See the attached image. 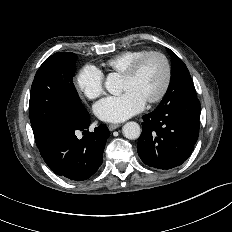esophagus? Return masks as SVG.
I'll return each instance as SVG.
<instances>
[{
  "mask_svg": "<svg viewBox=\"0 0 232 232\" xmlns=\"http://www.w3.org/2000/svg\"><path fill=\"white\" fill-rule=\"evenodd\" d=\"M120 126H121L120 124L112 123V124H109L108 128L110 131H113V130L119 128Z\"/></svg>",
  "mask_w": 232,
  "mask_h": 232,
  "instance_id": "esophagus-1",
  "label": "esophagus"
}]
</instances>
